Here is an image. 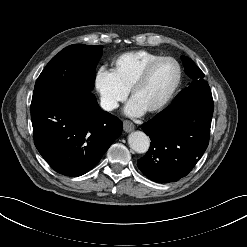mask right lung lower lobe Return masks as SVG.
Returning <instances> with one entry per match:
<instances>
[{
    "label": "right lung lower lobe",
    "instance_id": "1",
    "mask_svg": "<svg viewBox=\"0 0 247 247\" xmlns=\"http://www.w3.org/2000/svg\"><path fill=\"white\" fill-rule=\"evenodd\" d=\"M34 143L58 173L77 177L90 171L121 135L122 122L98 106L94 94L74 100L52 92L31 103Z\"/></svg>",
    "mask_w": 247,
    "mask_h": 247
}]
</instances>
